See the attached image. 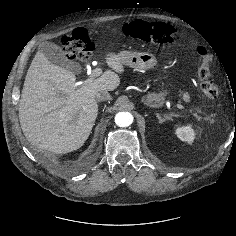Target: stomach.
Returning a JSON list of instances; mask_svg holds the SVG:
<instances>
[{
    "mask_svg": "<svg viewBox=\"0 0 236 236\" xmlns=\"http://www.w3.org/2000/svg\"><path fill=\"white\" fill-rule=\"evenodd\" d=\"M118 56L125 65L136 69H150L157 64L156 57L148 52L123 51L118 53ZM169 91L168 89H163L158 93H148L142 97L141 101L146 107L159 108L164 104Z\"/></svg>",
    "mask_w": 236,
    "mask_h": 236,
    "instance_id": "1",
    "label": "stomach"
}]
</instances>
